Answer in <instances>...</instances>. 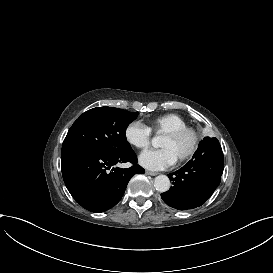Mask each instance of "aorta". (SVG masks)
<instances>
[{"label": "aorta", "mask_w": 273, "mask_h": 273, "mask_svg": "<svg viewBox=\"0 0 273 273\" xmlns=\"http://www.w3.org/2000/svg\"><path fill=\"white\" fill-rule=\"evenodd\" d=\"M159 143V137L155 136L152 139V145L157 147ZM170 179L166 175H158L154 180V187L158 192H167L170 189Z\"/></svg>", "instance_id": "aorta-1"}]
</instances>
